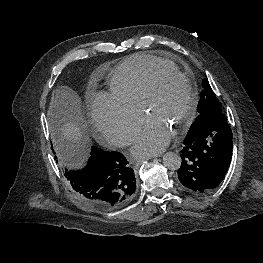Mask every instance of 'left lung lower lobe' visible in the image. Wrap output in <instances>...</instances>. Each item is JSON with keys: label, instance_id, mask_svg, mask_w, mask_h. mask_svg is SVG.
Segmentation results:
<instances>
[{"label": "left lung lower lobe", "instance_id": "1", "mask_svg": "<svg viewBox=\"0 0 263 263\" xmlns=\"http://www.w3.org/2000/svg\"><path fill=\"white\" fill-rule=\"evenodd\" d=\"M232 136L222 111L208 117L198 131L187 133L178 170V179L184 187L206 193L221 183L231 162Z\"/></svg>", "mask_w": 263, "mask_h": 263}]
</instances>
